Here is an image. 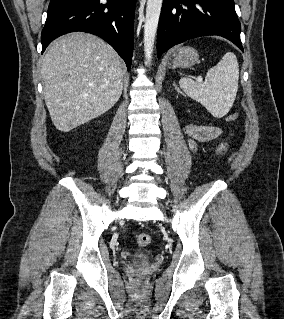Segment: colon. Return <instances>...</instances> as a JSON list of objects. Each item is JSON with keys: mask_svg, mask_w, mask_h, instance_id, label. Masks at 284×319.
I'll return each instance as SVG.
<instances>
[{"mask_svg": "<svg viewBox=\"0 0 284 319\" xmlns=\"http://www.w3.org/2000/svg\"><path fill=\"white\" fill-rule=\"evenodd\" d=\"M238 117V114L237 113H231V114H228L226 116V120L227 121H234L236 120ZM218 150L221 152V153H224L227 151V145L226 143H220L218 145ZM151 242V237L149 234H146V233H141L139 234L137 237H136V244L140 247H143V246H147L149 243Z\"/></svg>", "mask_w": 284, "mask_h": 319, "instance_id": "5ec220e1", "label": "colon"}]
</instances>
